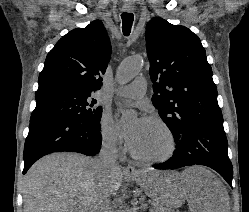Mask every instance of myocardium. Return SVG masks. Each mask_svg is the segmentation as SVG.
Masks as SVG:
<instances>
[{"label": "myocardium", "mask_w": 249, "mask_h": 212, "mask_svg": "<svg viewBox=\"0 0 249 212\" xmlns=\"http://www.w3.org/2000/svg\"><path fill=\"white\" fill-rule=\"evenodd\" d=\"M144 120L148 121V122L156 123L160 127H162V129L165 131V133L169 137L170 149L166 155L160 156V157H152V158L139 156L132 151L131 152L132 158L140 163H143V164L163 163V162H166V161L170 160L171 158H173L177 152V149H178V141H177L175 133L173 132L171 127L163 119H161L157 116H147L144 118Z\"/></svg>", "instance_id": "obj_1"}]
</instances>
